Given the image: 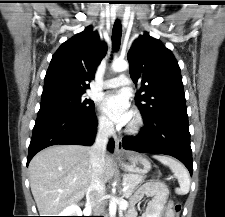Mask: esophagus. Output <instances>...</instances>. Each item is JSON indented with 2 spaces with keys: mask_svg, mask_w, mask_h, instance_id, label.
I'll return each instance as SVG.
<instances>
[{
  "mask_svg": "<svg viewBox=\"0 0 225 217\" xmlns=\"http://www.w3.org/2000/svg\"><path fill=\"white\" fill-rule=\"evenodd\" d=\"M119 18L122 17L121 14L118 15ZM123 153L122 141L119 137L115 140V155L119 156Z\"/></svg>",
  "mask_w": 225,
  "mask_h": 217,
  "instance_id": "34e87169",
  "label": "esophagus"
}]
</instances>
